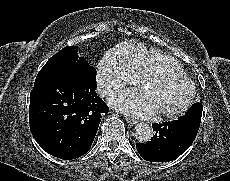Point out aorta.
<instances>
[{
  "label": "aorta",
  "mask_w": 230,
  "mask_h": 181,
  "mask_svg": "<svg viewBox=\"0 0 230 181\" xmlns=\"http://www.w3.org/2000/svg\"><path fill=\"white\" fill-rule=\"evenodd\" d=\"M134 135L138 142L147 144L153 137V130L149 124L141 122L136 124Z\"/></svg>",
  "instance_id": "aorta-1"
}]
</instances>
